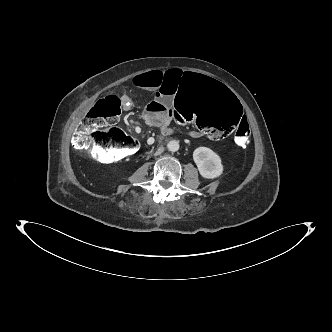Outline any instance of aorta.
I'll return each instance as SVG.
<instances>
[{"label": "aorta", "instance_id": "762f6f07", "mask_svg": "<svg viewBox=\"0 0 332 332\" xmlns=\"http://www.w3.org/2000/svg\"><path fill=\"white\" fill-rule=\"evenodd\" d=\"M167 148H168V150L171 151V152H176V151H178V150H179V143H178V141H176V140H172V141L168 142V144H167Z\"/></svg>", "mask_w": 332, "mask_h": 332}]
</instances>
